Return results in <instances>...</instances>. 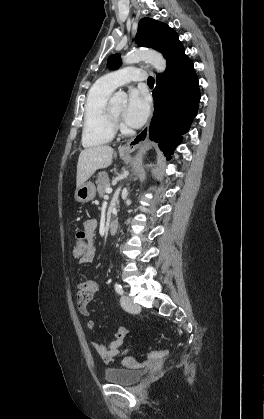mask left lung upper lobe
Masks as SVG:
<instances>
[{"instance_id":"obj_1","label":"left lung upper lobe","mask_w":264,"mask_h":419,"mask_svg":"<svg viewBox=\"0 0 264 419\" xmlns=\"http://www.w3.org/2000/svg\"><path fill=\"white\" fill-rule=\"evenodd\" d=\"M178 39L177 33L168 25L150 19H141L136 34V44L140 47L153 48L161 53L171 48ZM121 65L120 55H111L107 61L109 69L116 70Z\"/></svg>"}]
</instances>
